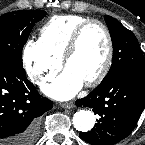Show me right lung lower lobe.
<instances>
[{
    "label": "right lung lower lobe",
    "mask_w": 145,
    "mask_h": 145,
    "mask_svg": "<svg viewBox=\"0 0 145 145\" xmlns=\"http://www.w3.org/2000/svg\"><path fill=\"white\" fill-rule=\"evenodd\" d=\"M52 105L26 78L22 64H0V145H33L38 117Z\"/></svg>",
    "instance_id": "right-lung-lower-lobe-1"
}]
</instances>
